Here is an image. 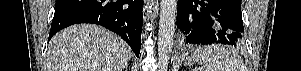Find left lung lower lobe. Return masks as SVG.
<instances>
[{"mask_svg":"<svg viewBox=\"0 0 301 71\" xmlns=\"http://www.w3.org/2000/svg\"><path fill=\"white\" fill-rule=\"evenodd\" d=\"M176 24L189 44L243 42L241 0H178Z\"/></svg>","mask_w":301,"mask_h":71,"instance_id":"left-lung-lower-lobe-1","label":"left lung lower lobe"}]
</instances>
